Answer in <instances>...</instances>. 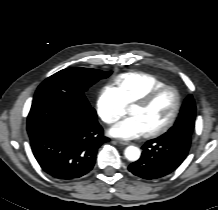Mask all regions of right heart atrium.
<instances>
[{
	"mask_svg": "<svg viewBox=\"0 0 218 210\" xmlns=\"http://www.w3.org/2000/svg\"><path fill=\"white\" fill-rule=\"evenodd\" d=\"M96 112L106 124H114L121 119L127 111V106L111 86H105L96 98Z\"/></svg>",
	"mask_w": 218,
	"mask_h": 210,
	"instance_id": "1",
	"label": "right heart atrium"
}]
</instances>
